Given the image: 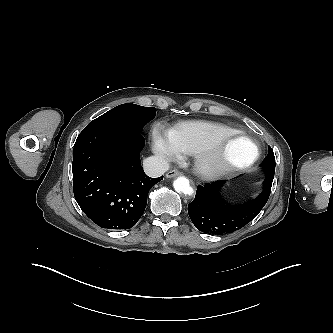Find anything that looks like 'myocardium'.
Wrapping results in <instances>:
<instances>
[{
	"label": "myocardium",
	"instance_id": "1",
	"mask_svg": "<svg viewBox=\"0 0 333 333\" xmlns=\"http://www.w3.org/2000/svg\"><path fill=\"white\" fill-rule=\"evenodd\" d=\"M242 140L250 144L253 154L243 162H234L226 156L225 147L231 141ZM194 155V169L205 179H217L251 167L260 156L258 145L245 133L234 131L216 138L211 144Z\"/></svg>",
	"mask_w": 333,
	"mask_h": 333
}]
</instances>
